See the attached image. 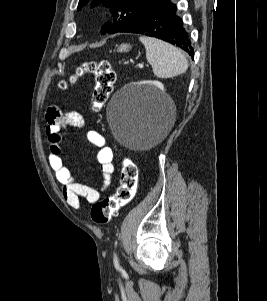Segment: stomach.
<instances>
[{
    "instance_id": "stomach-1",
    "label": "stomach",
    "mask_w": 267,
    "mask_h": 301,
    "mask_svg": "<svg viewBox=\"0 0 267 301\" xmlns=\"http://www.w3.org/2000/svg\"><path fill=\"white\" fill-rule=\"evenodd\" d=\"M130 49H131V45H130V44L123 43V44H121V45L118 47L117 51H118L119 53H125V52H128Z\"/></svg>"
}]
</instances>
